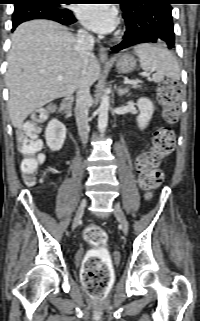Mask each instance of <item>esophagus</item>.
<instances>
[{
  "mask_svg": "<svg viewBox=\"0 0 200 321\" xmlns=\"http://www.w3.org/2000/svg\"><path fill=\"white\" fill-rule=\"evenodd\" d=\"M99 58L102 62H107L109 60L107 48L101 46L99 48Z\"/></svg>",
  "mask_w": 200,
  "mask_h": 321,
  "instance_id": "34e87169",
  "label": "esophagus"
}]
</instances>
